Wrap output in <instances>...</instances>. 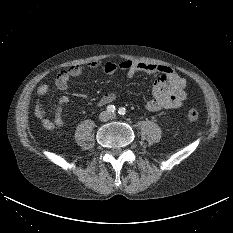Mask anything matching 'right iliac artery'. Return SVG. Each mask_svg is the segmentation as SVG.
Returning <instances> with one entry per match:
<instances>
[{
  "instance_id": "right-iliac-artery-1",
  "label": "right iliac artery",
  "mask_w": 233,
  "mask_h": 233,
  "mask_svg": "<svg viewBox=\"0 0 233 233\" xmlns=\"http://www.w3.org/2000/svg\"><path fill=\"white\" fill-rule=\"evenodd\" d=\"M106 109H107V111L110 112V113H114L115 110H116V108H115L114 105H108Z\"/></svg>"
}]
</instances>
